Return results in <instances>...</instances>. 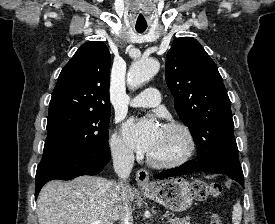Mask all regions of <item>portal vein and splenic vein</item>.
Masks as SVG:
<instances>
[{
    "label": "portal vein and splenic vein",
    "instance_id": "portal-vein-and-splenic-vein-1",
    "mask_svg": "<svg viewBox=\"0 0 275 224\" xmlns=\"http://www.w3.org/2000/svg\"><path fill=\"white\" fill-rule=\"evenodd\" d=\"M92 224H100V222L99 221H95Z\"/></svg>",
    "mask_w": 275,
    "mask_h": 224
}]
</instances>
